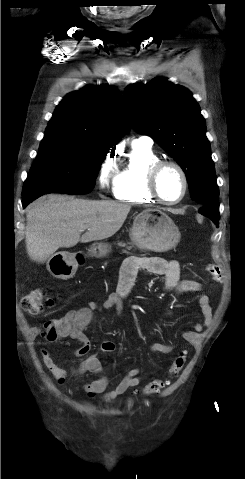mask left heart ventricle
<instances>
[{"mask_svg": "<svg viewBox=\"0 0 245 479\" xmlns=\"http://www.w3.org/2000/svg\"><path fill=\"white\" fill-rule=\"evenodd\" d=\"M159 190L164 199L177 200L183 190L182 180L178 172L171 167L166 168L159 179Z\"/></svg>", "mask_w": 245, "mask_h": 479, "instance_id": "b2bd125f", "label": "left heart ventricle"}]
</instances>
